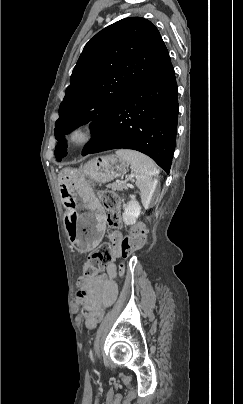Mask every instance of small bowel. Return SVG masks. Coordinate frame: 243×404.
<instances>
[{
  "label": "small bowel",
  "mask_w": 243,
  "mask_h": 404,
  "mask_svg": "<svg viewBox=\"0 0 243 404\" xmlns=\"http://www.w3.org/2000/svg\"><path fill=\"white\" fill-rule=\"evenodd\" d=\"M111 239L115 244L121 240L119 232H113ZM117 266L115 263H109L105 272L93 278H81L79 280L78 300L83 304V312L88 328L96 326L97 317L103 312L104 308L111 306L118 295L115 276Z\"/></svg>",
  "instance_id": "obj_1"
}]
</instances>
